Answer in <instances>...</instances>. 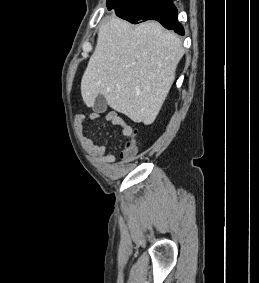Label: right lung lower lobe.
Returning <instances> with one entry per match:
<instances>
[{"mask_svg":"<svg viewBox=\"0 0 259 283\" xmlns=\"http://www.w3.org/2000/svg\"><path fill=\"white\" fill-rule=\"evenodd\" d=\"M108 10L131 23L156 20L167 29L184 35L178 22L177 9L171 0H107Z\"/></svg>","mask_w":259,"mask_h":283,"instance_id":"right-lung-lower-lobe-1","label":"right lung lower lobe"}]
</instances>
